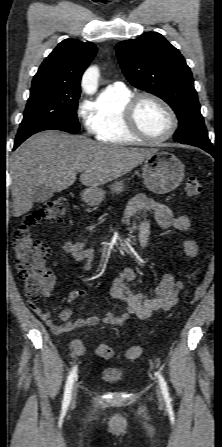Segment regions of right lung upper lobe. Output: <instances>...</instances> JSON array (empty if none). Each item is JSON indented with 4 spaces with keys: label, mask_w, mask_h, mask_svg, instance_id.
<instances>
[{
    "label": "right lung upper lobe",
    "mask_w": 222,
    "mask_h": 447,
    "mask_svg": "<svg viewBox=\"0 0 222 447\" xmlns=\"http://www.w3.org/2000/svg\"><path fill=\"white\" fill-rule=\"evenodd\" d=\"M96 52L92 42L63 40L39 67L32 88L49 86L66 95H80L81 76Z\"/></svg>",
    "instance_id": "right-lung-upper-lobe-1"
}]
</instances>
